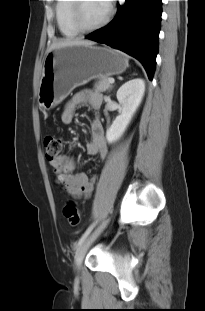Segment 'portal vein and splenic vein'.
I'll return each instance as SVG.
<instances>
[{
    "instance_id": "18ae733b",
    "label": "portal vein and splenic vein",
    "mask_w": 205,
    "mask_h": 311,
    "mask_svg": "<svg viewBox=\"0 0 205 311\" xmlns=\"http://www.w3.org/2000/svg\"><path fill=\"white\" fill-rule=\"evenodd\" d=\"M115 82L114 78H109V83L113 84Z\"/></svg>"
}]
</instances>
